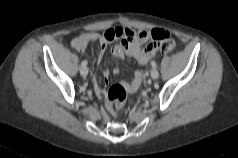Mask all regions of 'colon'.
<instances>
[{"label":"colon","instance_id":"1","mask_svg":"<svg viewBox=\"0 0 238 158\" xmlns=\"http://www.w3.org/2000/svg\"><path fill=\"white\" fill-rule=\"evenodd\" d=\"M159 47L162 52L166 53L174 50L176 44L169 35H165L160 39ZM105 98L108 101L109 109L113 113L120 112L126 103L127 89L121 84H115L105 93Z\"/></svg>","mask_w":238,"mask_h":158}]
</instances>
